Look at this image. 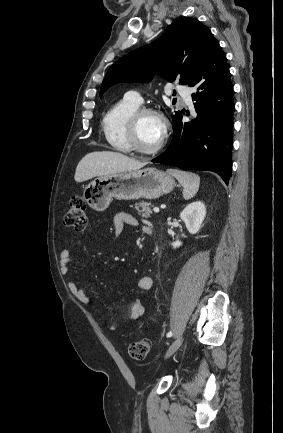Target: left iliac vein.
Masks as SVG:
<instances>
[{"label":"left iliac vein","instance_id":"4c4485c4","mask_svg":"<svg viewBox=\"0 0 283 433\" xmlns=\"http://www.w3.org/2000/svg\"><path fill=\"white\" fill-rule=\"evenodd\" d=\"M184 338L181 336L179 338H177L172 344L171 346L168 348L165 358L170 357L171 355H173L178 348L182 345Z\"/></svg>","mask_w":283,"mask_h":433}]
</instances>
